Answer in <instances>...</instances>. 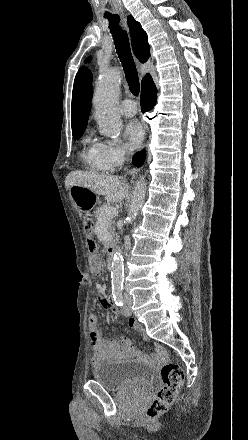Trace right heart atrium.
I'll return each instance as SVG.
<instances>
[{
  "label": "right heart atrium",
  "instance_id": "right-heart-atrium-1",
  "mask_svg": "<svg viewBox=\"0 0 248 440\" xmlns=\"http://www.w3.org/2000/svg\"><path fill=\"white\" fill-rule=\"evenodd\" d=\"M102 161L109 170L118 168L129 155L126 145L112 142L99 143Z\"/></svg>",
  "mask_w": 248,
  "mask_h": 440
}]
</instances>
